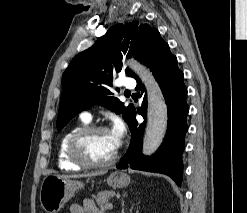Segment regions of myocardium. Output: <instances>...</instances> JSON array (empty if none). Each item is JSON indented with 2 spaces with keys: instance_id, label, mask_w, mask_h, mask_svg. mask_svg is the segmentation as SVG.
Listing matches in <instances>:
<instances>
[{
  "instance_id": "obj_1",
  "label": "myocardium",
  "mask_w": 247,
  "mask_h": 213,
  "mask_svg": "<svg viewBox=\"0 0 247 213\" xmlns=\"http://www.w3.org/2000/svg\"><path fill=\"white\" fill-rule=\"evenodd\" d=\"M109 131L106 126L103 125H89L77 130L70 138L68 143V153L70 159L77 165L83 168H104L116 163L119 158L118 149L114 155L107 161L97 162L89 160L84 153V142L92 135Z\"/></svg>"
}]
</instances>
